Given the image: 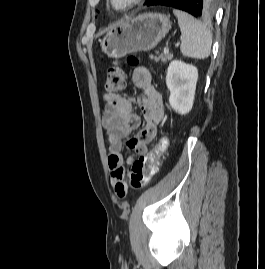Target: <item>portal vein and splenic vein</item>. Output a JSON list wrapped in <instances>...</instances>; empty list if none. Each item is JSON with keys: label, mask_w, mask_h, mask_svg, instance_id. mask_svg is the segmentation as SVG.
Wrapping results in <instances>:
<instances>
[{"label": "portal vein and splenic vein", "mask_w": 265, "mask_h": 269, "mask_svg": "<svg viewBox=\"0 0 265 269\" xmlns=\"http://www.w3.org/2000/svg\"><path fill=\"white\" fill-rule=\"evenodd\" d=\"M177 45H178V44H175V46H177ZM164 52H165V53H168V52H169V49H168V48H165V49H164Z\"/></svg>", "instance_id": "18ae733b"}]
</instances>
